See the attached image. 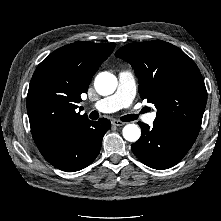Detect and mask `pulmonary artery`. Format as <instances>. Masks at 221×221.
I'll return each instance as SVG.
<instances>
[{"mask_svg": "<svg viewBox=\"0 0 221 221\" xmlns=\"http://www.w3.org/2000/svg\"><path fill=\"white\" fill-rule=\"evenodd\" d=\"M136 85L133 74L130 71H121L118 76V88L113 95L105 97L92 105V108L101 113H112L122 108H128L135 96ZM133 115L139 117L138 113ZM156 113L152 112L143 116L147 124H152Z\"/></svg>", "mask_w": 221, "mask_h": 221, "instance_id": "e3ab8cb5", "label": "pulmonary artery"}]
</instances>
